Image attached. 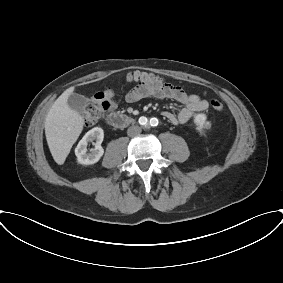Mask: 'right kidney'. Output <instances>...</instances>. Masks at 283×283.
<instances>
[{
    "instance_id": "1",
    "label": "right kidney",
    "mask_w": 283,
    "mask_h": 283,
    "mask_svg": "<svg viewBox=\"0 0 283 283\" xmlns=\"http://www.w3.org/2000/svg\"><path fill=\"white\" fill-rule=\"evenodd\" d=\"M104 138V131L100 127H95L89 130L84 137L79 141L75 148L77 162L82 165H91L97 163L104 154V149L101 143ZM95 147L87 153L88 142H93Z\"/></svg>"
}]
</instances>
